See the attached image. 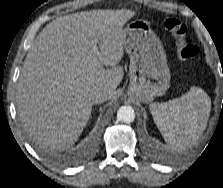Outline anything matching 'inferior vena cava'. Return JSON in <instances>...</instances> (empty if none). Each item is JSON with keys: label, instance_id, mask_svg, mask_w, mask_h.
Segmentation results:
<instances>
[{"label": "inferior vena cava", "instance_id": "1", "mask_svg": "<svg viewBox=\"0 0 223 188\" xmlns=\"http://www.w3.org/2000/svg\"><path fill=\"white\" fill-rule=\"evenodd\" d=\"M108 99V93L105 90L97 89L91 92L90 100L94 104H100Z\"/></svg>", "mask_w": 223, "mask_h": 188}]
</instances>
